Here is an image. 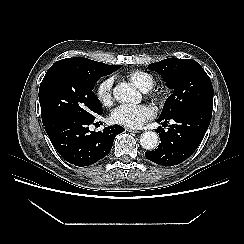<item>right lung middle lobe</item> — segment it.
I'll return each instance as SVG.
<instances>
[{"mask_svg":"<svg viewBox=\"0 0 244 244\" xmlns=\"http://www.w3.org/2000/svg\"><path fill=\"white\" fill-rule=\"evenodd\" d=\"M121 68L86 70L72 63L53 64L39 87L42 122L60 117L93 118L102 115L99 99L93 93L94 83Z\"/></svg>","mask_w":244,"mask_h":244,"instance_id":"right-lung-middle-lobe-1","label":"right lung middle lobe"}]
</instances>
